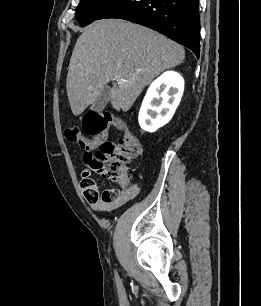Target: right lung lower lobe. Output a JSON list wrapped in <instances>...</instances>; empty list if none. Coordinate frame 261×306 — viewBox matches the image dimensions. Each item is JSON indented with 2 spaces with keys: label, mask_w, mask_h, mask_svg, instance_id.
<instances>
[{
  "label": "right lung lower lobe",
  "mask_w": 261,
  "mask_h": 306,
  "mask_svg": "<svg viewBox=\"0 0 261 306\" xmlns=\"http://www.w3.org/2000/svg\"><path fill=\"white\" fill-rule=\"evenodd\" d=\"M118 18L154 29L200 53L198 0H116L97 20Z\"/></svg>",
  "instance_id": "1"
}]
</instances>
